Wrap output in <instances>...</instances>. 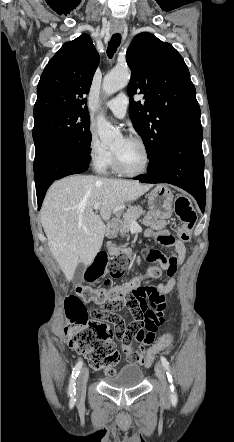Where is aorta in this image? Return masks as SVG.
<instances>
[{
	"mask_svg": "<svg viewBox=\"0 0 234 442\" xmlns=\"http://www.w3.org/2000/svg\"><path fill=\"white\" fill-rule=\"evenodd\" d=\"M129 80L130 71L127 67L115 68L104 77L102 89L106 95H112L124 88ZM97 126L99 137L105 144H111L120 136V133L103 116L98 118Z\"/></svg>",
	"mask_w": 234,
	"mask_h": 442,
	"instance_id": "aorta-1",
	"label": "aorta"
}]
</instances>
